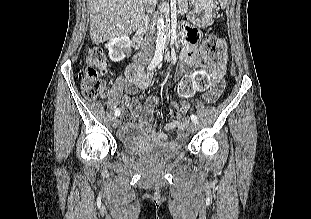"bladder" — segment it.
<instances>
[{
    "instance_id": "obj_1",
    "label": "bladder",
    "mask_w": 311,
    "mask_h": 219,
    "mask_svg": "<svg viewBox=\"0 0 311 219\" xmlns=\"http://www.w3.org/2000/svg\"><path fill=\"white\" fill-rule=\"evenodd\" d=\"M182 144L173 146L155 144L141 145L137 141L127 142L124 148L127 152L133 155L144 156L153 160H168L178 156L183 151Z\"/></svg>"
}]
</instances>
